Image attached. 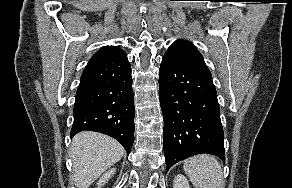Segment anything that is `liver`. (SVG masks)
Listing matches in <instances>:
<instances>
[{
    "mask_svg": "<svg viewBox=\"0 0 292 188\" xmlns=\"http://www.w3.org/2000/svg\"><path fill=\"white\" fill-rule=\"evenodd\" d=\"M123 155L122 145L109 136L91 131L78 133L71 144L75 185L88 188Z\"/></svg>",
    "mask_w": 292,
    "mask_h": 188,
    "instance_id": "obj_1",
    "label": "liver"
}]
</instances>
